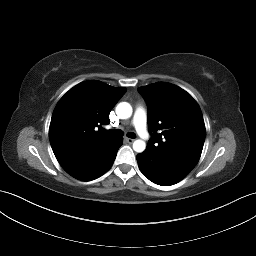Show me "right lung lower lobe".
<instances>
[{
  "label": "right lung lower lobe",
  "mask_w": 256,
  "mask_h": 256,
  "mask_svg": "<svg viewBox=\"0 0 256 256\" xmlns=\"http://www.w3.org/2000/svg\"><path fill=\"white\" fill-rule=\"evenodd\" d=\"M122 141L123 138L118 137L117 140L100 146L91 154L61 166L68 174L78 180L91 181L97 179L112 166Z\"/></svg>",
  "instance_id": "98d812e1"
}]
</instances>
